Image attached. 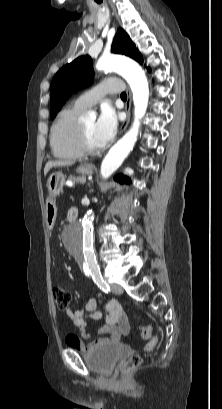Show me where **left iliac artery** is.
I'll return each mask as SVG.
<instances>
[{
  "label": "left iliac artery",
  "mask_w": 222,
  "mask_h": 409,
  "mask_svg": "<svg viewBox=\"0 0 222 409\" xmlns=\"http://www.w3.org/2000/svg\"><path fill=\"white\" fill-rule=\"evenodd\" d=\"M91 275L94 280V282L97 284V286L105 293H108L110 291L109 285L104 281L102 274L100 272L99 267H95L91 270Z\"/></svg>",
  "instance_id": "44dca946"
}]
</instances>
